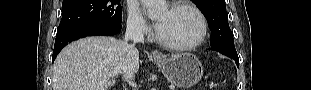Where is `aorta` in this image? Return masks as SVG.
Wrapping results in <instances>:
<instances>
[{"label":"aorta","mask_w":311,"mask_h":90,"mask_svg":"<svg viewBox=\"0 0 311 90\" xmlns=\"http://www.w3.org/2000/svg\"><path fill=\"white\" fill-rule=\"evenodd\" d=\"M141 2L147 8L150 17H155L166 9L165 0H141Z\"/></svg>","instance_id":"aorta-1"}]
</instances>
